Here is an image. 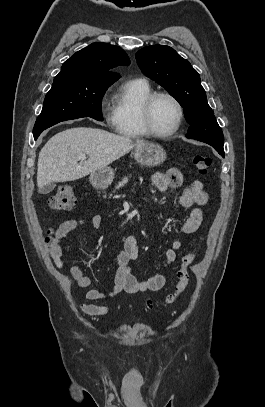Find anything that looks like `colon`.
I'll return each instance as SVG.
<instances>
[{"instance_id":"obj_1","label":"colon","mask_w":265,"mask_h":407,"mask_svg":"<svg viewBox=\"0 0 265 407\" xmlns=\"http://www.w3.org/2000/svg\"><path fill=\"white\" fill-rule=\"evenodd\" d=\"M193 163L196 169L201 174H206L212 165V159L210 156L197 154L193 157ZM77 202V197L73 187L61 186L49 199V206L53 210H70ZM54 236L49 237L50 245L54 244ZM196 252H190L186 254L181 261V266L177 272L178 282L176 290L169 294L165 299L166 305L174 304L179 296L186 290L189 284V268L194 262ZM154 305L151 299L146 300V307L152 308Z\"/></svg>"}]
</instances>
